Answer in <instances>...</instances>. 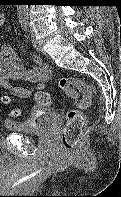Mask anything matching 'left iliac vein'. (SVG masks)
I'll list each match as a JSON object with an SVG mask.
<instances>
[{
    "label": "left iliac vein",
    "mask_w": 121,
    "mask_h": 197,
    "mask_svg": "<svg viewBox=\"0 0 121 197\" xmlns=\"http://www.w3.org/2000/svg\"><path fill=\"white\" fill-rule=\"evenodd\" d=\"M30 35H31V39H32V44L35 47V49L40 50V45L35 37V33L33 30H30Z\"/></svg>",
    "instance_id": "left-iliac-vein-1"
}]
</instances>
